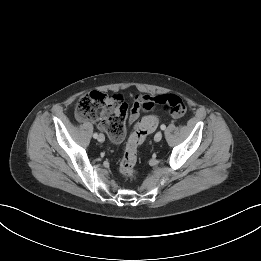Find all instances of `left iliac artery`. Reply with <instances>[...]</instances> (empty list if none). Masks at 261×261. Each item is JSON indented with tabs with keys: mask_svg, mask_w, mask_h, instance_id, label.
<instances>
[{
	"mask_svg": "<svg viewBox=\"0 0 261 261\" xmlns=\"http://www.w3.org/2000/svg\"><path fill=\"white\" fill-rule=\"evenodd\" d=\"M160 128H161V130H165V129H166V126H165L164 124H162V125L160 126Z\"/></svg>",
	"mask_w": 261,
	"mask_h": 261,
	"instance_id": "obj_1",
	"label": "left iliac artery"
}]
</instances>
